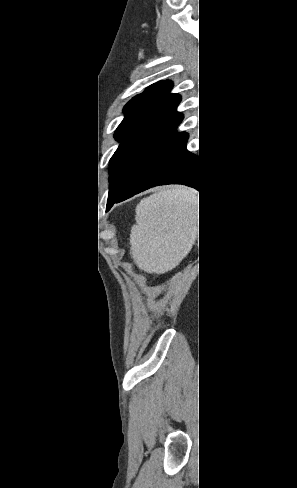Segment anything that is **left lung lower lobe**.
<instances>
[{
    "label": "left lung lower lobe",
    "mask_w": 297,
    "mask_h": 488,
    "mask_svg": "<svg viewBox=\"0 0 297 488\" xmlns=\"http://www.w3.org/2000/svg\"><path fill=\"white\" fill-rule=\"evenodd\" d=\"M187 138L186 133H178L141 168L126 189L109 202L106 210L157 185L184 184L200 193L201 168H198L197 156L186 150Z\"/></svg>",
    "instance_id": "left-lung-lower-lobe-1"
}]
</instances>
